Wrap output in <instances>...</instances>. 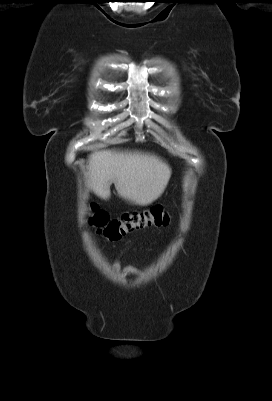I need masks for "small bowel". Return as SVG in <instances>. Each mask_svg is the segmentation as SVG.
<instances>
[{"instance_id": "obj_1", "label": "small bowel", "mask_w": 272, "mask_h": 401, "mask_svg": "<svg viewBox=\"0 0 272 401\" xmlns=\"http://www.w3.org/2000/svg\"><path fill=\"white\" fill-rule=\"evenodd\" d=\"M121 254H122V252L120 253V255L117 257V259L115 261L114 267L116 269L120 268L119 258L121 256ZM123 272L128 276H134V275H137L139 273V269L134 267V266H132V265H126V266L123 267Z\"/></svg>"}]
</instances>
